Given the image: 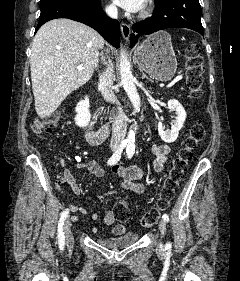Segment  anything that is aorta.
<instances>
[{"label": "aorta", "mask_w": 240, "mask_h": 281, "mask_svg": "<svg viewBox=\"0 0 240 281\" xmlns=\"http://www.w3.org/2000/svg\"><path fill=\"white\" fill-rule=\"evenodd\" d=\"M120 76H121V83L129 97L130 101L132 102L135 111H140V105H141L140 97H139L137 88L135 86L134 77L131 72L130 62L127 58L125 51H122L121 56H120ZM127 141L128 142L135 141V131L134 130L129 131Z\"/></svg>", "instance_id": "aorta-1"}]
</instances>
